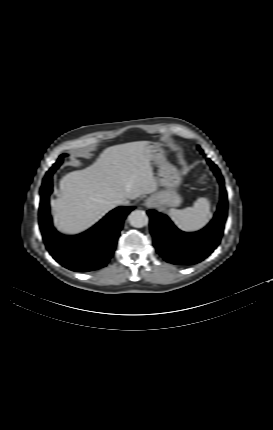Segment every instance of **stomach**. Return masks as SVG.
<instances>
[{"instance_id": "obj_1", "label": "stomach", "mask_w": 273, "mask_h": 430, "mask_svg": "<svg viewBox=\"0 0 273 430\" xmlns=\"http://www.w3.org/2000/svg\"><path fill=\"white\" fill-rule=\"evenodd\" d=\"M148 151L150 162L159 167L158 181L164 187L163 190L153 194L150 198L158 206H179L181 197L177 192V188L181 184V177L177 168L166 160L164 151L159 144L150 143Z\"/></svg>"}]
</instances>
